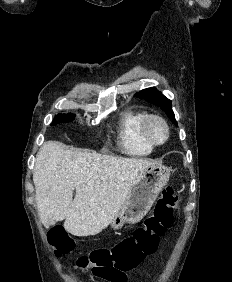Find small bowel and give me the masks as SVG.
<instances>
[{
    "label": "small bowel",
    "mask_w": 232,
    "mask_h": 282,
    "mask_svg": "<svg viewBox=\"0 0 232 282\" xmlns=\"http://www.w3.org/2000/svg\"><path fill=\"white\" fill-rule=\"evenodd\" d=\"M106 282H128V276L124 271H115L108 276L101 277Z\"/></svg>",
    "instance_id": "1"
}]
</instances>
